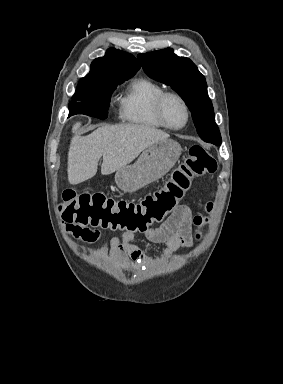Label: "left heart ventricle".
Segmentation results:
<instances>
[{"label":"left heart ventricle","mask_w":283,"mask_h":384,"mask_svg":"<svg viewBox=\"0 0 283 384\" xmlns=\"http://www.w3.org/2000/svg\"><path fill=\"white\" fill-rule=\"evenodd\" d=\"M164 118L166 122L173 127H179L183 125L185 121V111L180 101L174 97H170L166 100L164 105Z\"/></svg>","instance_id":"obj_1"}]
</instances>
